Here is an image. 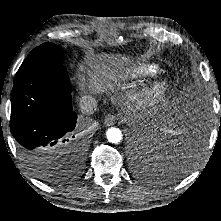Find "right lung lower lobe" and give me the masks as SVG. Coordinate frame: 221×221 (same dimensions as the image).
<instances>
[{
  "label": "right lung lower lobe",
  "instance_id": "98d812e1",
  "mask_svg": "<svg viewBox=\"0 0 221 221\" xmlns=\"http://www.w3.org/2000/svg\"><path fill=\"white\" fill-rule=\"evenodd\" d=\"M76 120L71 85L62 64L43 68L14 83L10 130L30 163L60 155L75 156L80 163L85 145L72 136Z\"/></svg>",
  "mask_w": 221,
  "mask_h": 221
}]
</instances>
